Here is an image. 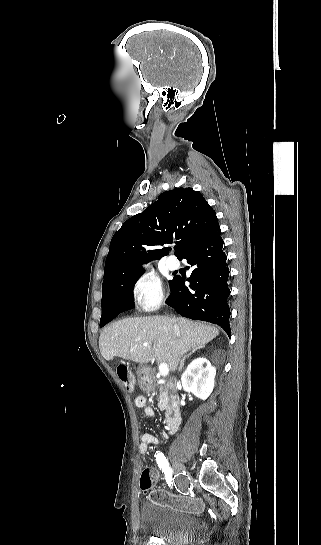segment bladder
<instances>
[{"label": "bladder", "instance_id": "bladder-1", "mask_svg": "<svg viewBox=\"0 0 321 545\" xmlns=\"http://www.w3.org/2000/svg\"><path fill=\"white\" fill-rule=\"evenodd\" d=\"M140 528L168 545L191 543L199 531V520L191 512L146 501L139 512Z\"/></svg>", "mask_w": 321, "mask_h": 545}]
</instances>
